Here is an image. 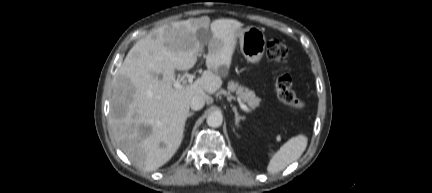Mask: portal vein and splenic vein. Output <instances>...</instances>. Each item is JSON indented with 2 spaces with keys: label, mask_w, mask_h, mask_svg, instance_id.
<instances>
[{
  "label": "portal vein and splenic vein",
  "mask_w": 432,
  "mask_h": 193,
  "mask_svg": "<svg viewBox=\"0 0 432 193\" xmlns=\"http://www.w3.org/2000/svg\"><path fill=\"white\" fill-rule=\"evenodd\" d=\"M187 82L192 83L193 82V76H189L187 78V80L182 81V82L180 80H176L173 82V86L176 89L181 90L186 85ZM239 105H240V108L242 110H244L245 112H250L249 108L244 103L240 102Z\"/></svg>",
  "instance_id": "portal-vein-and-splenic-vein-1"
}]
</instances>
